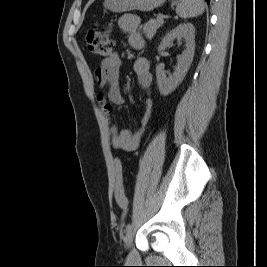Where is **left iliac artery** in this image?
I'll return each instance as SVG.
<instances>
[{
  "label": "left iliac artery",
  "mask_w": 267,
  "mask_h": 267,
  "mask_svg": "<svg viewBox=\"0 0 267 267\" xmlns=\"http://www.w3.org/2000/svg\"><path fill=\"white\" fill-rule=\"evenodd\" d=\"M132 224H128L126 227V232L128 233L132 229Z\"/></svg>",
  "instance_id": "1"
}]
</instances>
